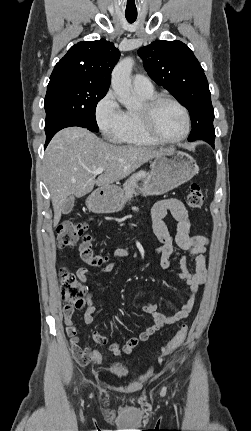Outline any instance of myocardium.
Masks as SVG:
<instances>
[{
	"label": "myocardium",
	"instance_id": "f54148a6",
	"mask_svg": "<svg viewBox=\"0 0 251 431\" xmlns=\"http://www.w3.org/2000/svg\"><path fill=\"white\" fill-rule=\"evenodd\" d=\"M172 103L176 105L184 115V131L178 138L166 139L163 138L157 131L155 127V113L160 105L163 103ZM139 116L141 120L142 127L145 133L155 142L159 144H177L182 142L187 138L191 128L190 114L186 106L174 97L169 95H155L154 97L148 99L143 108L139 111Z\"/></svg>",
	"mask_w": 251,
	"mask_h": 431
}]
</instances>
